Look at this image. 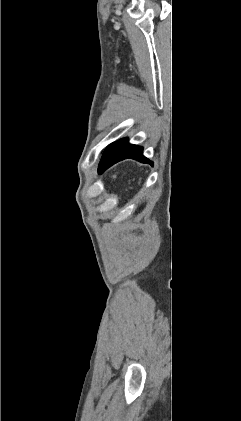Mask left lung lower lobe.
<instances>
[{"label":"left lung lower lobe","mask_w":241,"mask_h":421,"mask_svg":"<svg viewBox=\"0 0 241 421\" xmlns=\"http://www.w3.org/2000/svg\"><path fill=\"white\" fill-rule=\"evenodd\" d=\"M127 158H132L139 162L153 164L151 161H149L146 157L143 156L142 147L129 144L128 139L124 138L110 144L105 149L98 167L99 174H102L107 168H109L113 164Z\"/></svg>","instance_id":"left-lung-lower-lobe-1"}]
</instances>
